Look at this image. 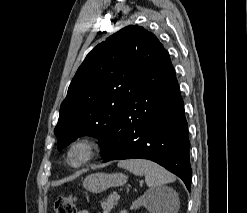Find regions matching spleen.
Returning a JSON list of instances; mask_svg holds the SVG:
<instances>
[{"mask_svg":"<svg viewBox=\"0 0 247 213\" xmlns=\"http://www.w3.org/2000/svg\"><path fill=\"white\" fill-rule=\"evenodd\" d=\"M120 168L129 170L135 175H144L146 184L151 188V191L157 190L158 187L163 186L167 183L175 181V176L165 170L160 165L143 159H130L122 160L118 163ZM170 191V189H166ZM171 205H168L169 213H176L178 208V201L176 196L171 197ZM166 212V213H168Z\"/></svg>","mask_w":247,"mask_h":213,"instance_id":"obj_1","label":"spleen"}]
</instances>
